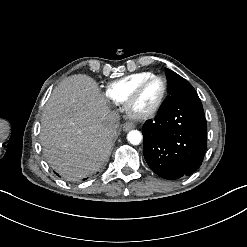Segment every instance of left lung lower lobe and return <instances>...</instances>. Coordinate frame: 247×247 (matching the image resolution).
<instances>
[{"label": "left lung lower lobe", "mask_w": 247, "mask_h": 247, "mask_svg": "<svg viewBox=\"0 0 247 247\" xmlns=\"http://www.w3.org/2000/svg\"><path fill=\"white\" fill-rule=\"evenodd\" d=\"M142 133L144 157L160 177L179 179L202 164L207 147V123L199 97L173 100L160 107Z\"/></svg>", "instance_id": "obj_1"}]
</instances>
